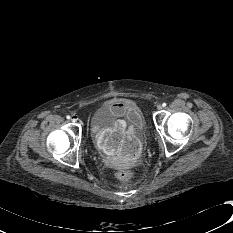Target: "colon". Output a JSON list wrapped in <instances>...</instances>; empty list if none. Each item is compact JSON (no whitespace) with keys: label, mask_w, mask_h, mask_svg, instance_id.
<instances>
[{"label":"colon","mask_w":233,"mask_h":233,"mask_svg":"<svg viewBox=\"0 0 233 233\" xmlns=\"http://www.w3.org/2000/svg\"><path fill=\"white\" fill-rule=\"evenodd\" d=\"M116 177L120 181L127 182L131 180L132 173L129 170L122 169L116 173Z\"/></svg>","instance_id":"obj_1"}]
</instances>
